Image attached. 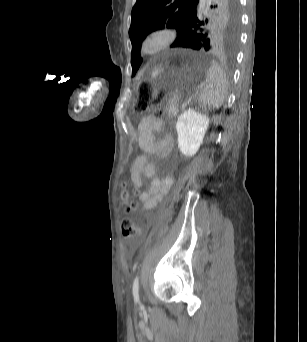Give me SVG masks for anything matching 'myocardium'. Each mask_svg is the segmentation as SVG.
<instances>
[{"label":"myocardium","mask_w":307,"mask_h":342,"mask_svg":"<svg viewBox=\"0 0 307 342\" xmlns=\"http://www.w3.org/2000/svg\"><path fill=\"white\" fill-rule=\"evenodd\" d=\"M177 36V30L173 24L156 23L144 33L140 42V51L145 57H155L172 47L177 41ZM148 44H152L149 50Z\"/></svg>","instance_id":"1"}]
</instances>
